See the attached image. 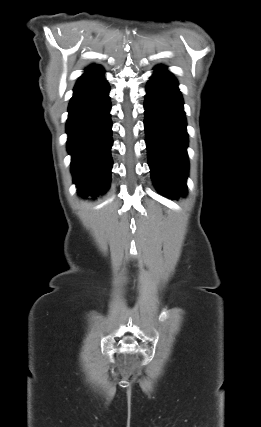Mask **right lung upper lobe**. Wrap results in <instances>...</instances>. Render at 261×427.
<instances>
[{"label": "right lung upper lobe", "instance_id": "obj_1", "mask_svg": "<svg viewBox=\"0 0 261 427\" xmlns=\"http://www.w3.org/2000/svg\"><path fill=\"white\" fill-rule=\"evenodd\" d=\"M95 67V65L90 66L88 69Z\"/></svg>", "mask_w": 261, "mask_h": 427}]
</instances>
